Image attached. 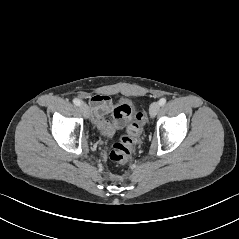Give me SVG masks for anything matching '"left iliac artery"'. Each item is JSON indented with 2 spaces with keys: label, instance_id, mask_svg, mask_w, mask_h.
I'll list each match as a JSON object with an SVG mask.
<instances>
[{
  "label": "left iliac artery",
  "instance_id": "obj_1",
  "mask_svg": "<svg viewBox=\"0 0 239 239\" xmlns=\"http://www.w3.org/2000/svg\"><path fill=\"white\" fill-rule=\"evenodd\" d=\"M165 103H166V99H165V98H161V99L159 100V104H160L161 106L165 105Z\"/></svg>",
  "mask_w": 239,
  "mask_h": 239
}]
</instances>
